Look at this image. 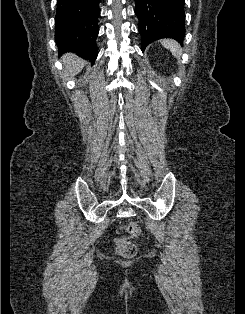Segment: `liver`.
Here are the masks:
<instances>
[{
    "instance_id": "liver-1",
    "label": "liver",
    "mask_w": 245,
    "mask_h": 314,
    "mask_svg": "<svg viewBox=\"0 0 245 314\" xmlns=\"http://www.w3.org/2000/svg\"><path fill=\"white\" fill-rule=\"evenodd\" d=\"M62 60L65 66L66 74L70 78L77 75L86 64L85 60L70 53L63 55Z\"/></svg>"
}]
</instances>
